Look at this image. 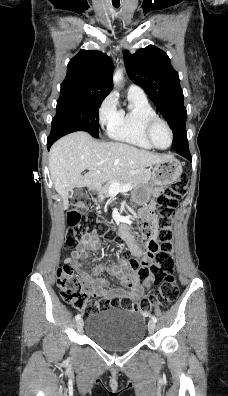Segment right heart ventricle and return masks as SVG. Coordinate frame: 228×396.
Wrapping results in <instances>:
<instances>
[{
    "instance_id": "1",
    "label": "right heart ventricle",
    "mask_w": 228,
    "mask_h": 396,
    "mask_svg": "<svg viewBox=\"0 0 228 396\" xmlns=\"http://www.w3.org/2000/svg\"><path fill=\"white\" fill-rule=\"evenodd\" d=\"M128 101V107L120 109L117 119L108 127V135L138 148L152 150L144 135V123L156 112L146 96L128 93Z\"/></svg>"
}]
</instances>
